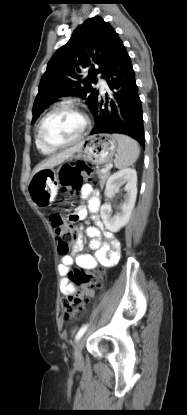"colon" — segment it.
<instances>
[{
    "label": "colon",
    "instance_id": "1",
    "mask_svg": "<svg viewBox=\"0 0 187 415\" xmlns=\"http://www.w3.org/2000/svg\"><path fill=\"white\" fill-rule=\"evenodd\" d=\"M93 173V169L89 166L69 165L63 168L59 177L64 193L75 195L82 188L84 179L91 180ZM49 220L55 232L58 252L66 255L76 240V232L70 224L75 218L72 216L68 221L60 213L54 212L50 214ZM70 278L78 290L75 295L68 296L61 301V311L65 321L81 316L86 304L93 297L94 289L101 287L104 273L100 270L75 269L71 272Z\"/></svg>",
    "mask_w": 187,
    "mask_h": 415
}]
</instances>
